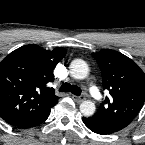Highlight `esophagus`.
Masks as SVG:
<instances>
[{"label": "esophagus", "instance_id": "1", "mask_svg": "<svg viewBox=\"0 0 145 145\" xmlns=\"http://www.w3.org/2000/svg\"><path fill=\"white\" fill-rule=\"evenodd\" d=\"M72 98L77 102V103H81L85 100L84 96H77V95H73Z\"/></svg>", "mask_w": 145, "mask_h": 145}]
</instances>
